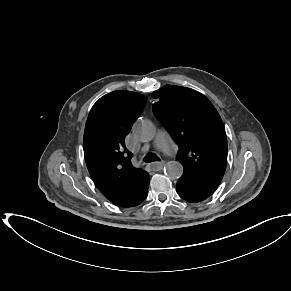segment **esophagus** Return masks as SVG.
<instances>
[{"instance_id": "34e87169", "label": "esophagus", "mask_w": 291, "mask_h": 291, "mask_svg": "<svg viewBox=\"0 0 291 291\" xmlns=\"http://www.w3.org/2000/svg\"><path fill=\"white\" fill-rule=\"evenodd\" d=\"M164 165H165V162L164 161H161V162L152 163L150 165V167L154 171H159V170H161L163 168Z\"/></svg>"}]
</instances>
